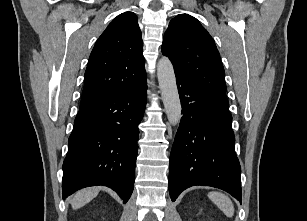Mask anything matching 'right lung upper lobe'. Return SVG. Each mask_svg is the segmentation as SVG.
Here are the masks:
<instances>
[{
	"mask_svg": "<svg viewBox=\"0 0 307 221\" xmlns=\"http://www.w3.org/2000/svg\"><path fill=\"white\" fill-rule=\"evenodd\" d=\"M143 42L133 12L117 16L89 57L80 108L128 91L146 79Z\"/></svg>",
	"mask_w": 307,
	"mask_h": 221,
	"instance_id": "1",
	"label": "right lung upper lobe"
}]
</instances>
